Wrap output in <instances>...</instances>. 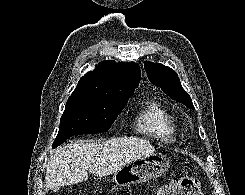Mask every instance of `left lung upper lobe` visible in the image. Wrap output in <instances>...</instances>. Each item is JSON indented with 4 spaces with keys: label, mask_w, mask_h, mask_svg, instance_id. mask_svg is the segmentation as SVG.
I'll list each match as a JSON object with an SVG mask.
<instances>
[{
    "label": "left lung upper lobe",
    "mask_w": 245,
    "mask_h": 195,
    "mask_svg": "<svg viewBox=\"0 0 245 195\" xmlns=\"http://www.w3.org/2000/svg\"><path fill=\"white\" fill-rule=\"evenodd\" d=\"M144 69L148 79L157 87H160L172 99L183 103L190 109H194L189 94L181 86L178 75L171 68L160 63L145 62Z\"/></svg>",
    "instance_id": "obj_1"
}]
</instances>
